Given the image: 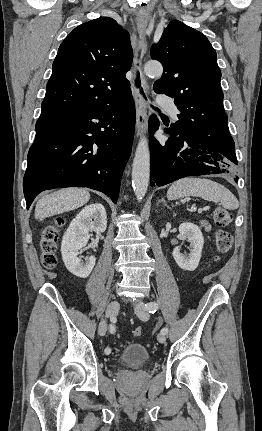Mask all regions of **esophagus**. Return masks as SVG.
<instances>
[{"label":"esophagus","mask_w":262,"mask_h":431,"mask_svg":"<svg viewBox=\"0 0 262 431\" xmlns=\"http://www.w3.org/2000/svg\"><path fill=\"white\" fill-rule=\"evenodd\" d=\"M138 34L140 39H144L146 36L147 25L139 24ZM141 70V69H140ZM141 80L143 86H146V80L143 75H141ZM133 95L136 106V134L140 136L147 131V123H148V113H147V105L144 100L143 95L140 93V90L136 87L133 88Z\"/></svg>","instance_id":"obj_1"}]
</instances>
